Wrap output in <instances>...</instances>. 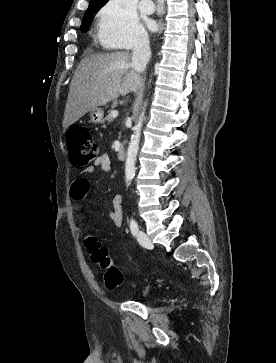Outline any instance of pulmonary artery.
Returning <instances> with one entry per match:
<instances>
[{"label": "pulmonary artery", "instance_id": "obj_1", "mask_svg": "<svg viewBox=\"0 0 276 363\" xmlns=\"http://www.w3.org/2000/svg\"><path fill=\"white\" fill-rule=\"evenodd\" d=\"M154 8V4L151 0H141L139 3V9L145 14H152Z\"/></svg>", "mask_w": 276, "mask_h": 363}]
</instances>
